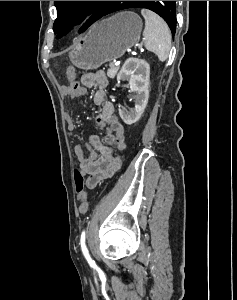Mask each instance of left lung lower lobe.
I'll return each instance as SVG.
<instances>
[{"label":"left lung lower lobe","mask_w":237,"mask_h":300,"mask_svg":"<svg viewBox=\"0 0 237 300\" xmlns=\"http://www.w3.org/2000/svg\"><path fill=\"white\" fill-rule=\"evenodd\" d=\"M161 3H166V1H161ZM122 5L121 1H113V3L108 7V14L118 11L119 7Z\"/></svg>","instance_id":"0a47b994"}]
</instances>
